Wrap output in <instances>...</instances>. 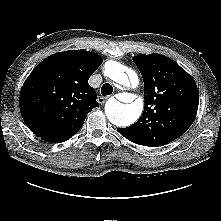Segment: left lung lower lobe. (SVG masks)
I'll return each mask as SVG.
<instances>
[{"mask_svg": "<svg viewBox=\"0 0 221 221\" xmlns=\"http://www.w3.org/2000/svg\"><path fill=\"white\" fill-rule=\"evenodd\" d=\"M118 131H119V133H120L121 135H123L125 138H127L126 134L123 132L122 129H118Z\"/></svg>", "mask_w": 221, "mask_h": 221, "instance_id": "1", "label": "left lung lower lobe"}]
</instances>
